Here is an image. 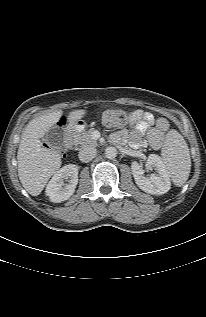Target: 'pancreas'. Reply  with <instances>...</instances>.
Listing matches in <instances>:
<instances>
[{
  "label": "pancreas",
  "instance_id": "pancreas-1",
  "mask_svg": "<svg viewBox=\"0 0 206 317\" xmlns=\"http://www.w3.org/2000/svg\"><path fill=\"white\" fill-rule=\"evenodd\" d=\"M94 129H89L88 131H84V132H78V131H74L72 134V141L74 144L78 145H82L83 147L86 146H96L97 145V141L95 139L92 138V133H93Z\"/></svg>",
  "mask_w": 206,
  "mask_h": 317
}]
</instances>
